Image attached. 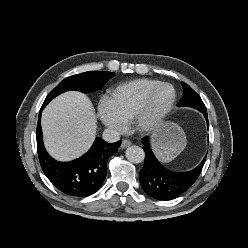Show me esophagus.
Masks as SVG:
<instances>
[{
  "label": "esophagus",
  "instance_id": "esophagus-1",
  "mask_svg": "<svg viewBox=\"0 0 248 248\" xmlns=\"http://www.w3.org/2000/svg\"><path fill=\"white\" fill-rule=\"evenodd\" d=\"M131 145V141L130 140H128V139H123L122 140V143H121V148L122 149H125V148H127L128 146H130Z\"/></svg>",
  "mask_w": 248,
  "mask_h": 248
}]
</instances>
